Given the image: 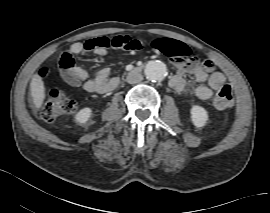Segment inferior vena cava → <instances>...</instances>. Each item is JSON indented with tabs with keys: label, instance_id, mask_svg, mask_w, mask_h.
I'll return each mask as SVG.
<instances>
[{
	"label": "inferior vena cava",
	"instance_id": "1",
	"mask_svg": "<svg viewBox=\"0 0 270 213\" xmlns=\"http://www.w3.org/2000/svg\"><path fill=\"white\" fill-rule=\"evenodd\" d=\"M126 80L129 84H136L143 80V76L138 72L132 71L127 75Z\"/></svg>",
	"mask_w": 270,
	"mask_h": 213
}]
</instances>
